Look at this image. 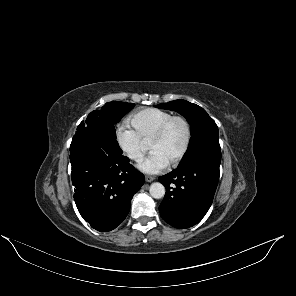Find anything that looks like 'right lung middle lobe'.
<instances>
[{
  "instance_id": "dd1d6c3e",
  "label": "right lung middle lobe",
  "mask_w": 296,
  "mask_h": 296,
  "mask_svg": "<svg viewBox=\"0 0 296 296\" xmlns=\"http://www.w3.org/2000/svg\"><path fill=\"white\" fill-rule=\"evenodd\" d=\"M135 104L112 101L106 103L101 110L92 111L86 121H82L77 130L92 129L102 133L111 140H116L114 124L131 110Z\"/></svg>"
}]
</instances>
